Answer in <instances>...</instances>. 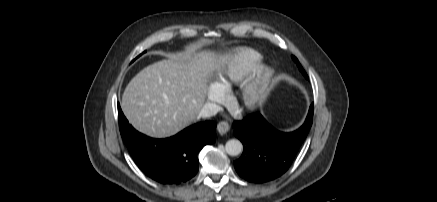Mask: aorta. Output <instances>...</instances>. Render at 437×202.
I'll use <instances>...</instances> for the list:
<instances>
[{
	"label": "aorta",
	"mask_w": 437,
	"mask_h": 202,
	"mask_svg": "<svg viewBox=\"0 0 437 202\" xmlns=\"http://www.w3.org/2000/svg\"><path fill=\"white\" fill-rule=\"evenodd\" d=\"M243 150L242 143L237 139H231L226 142L225 151L231 156L239 155Z\"/></svg>",
	"instance_id": "762f6f07"
}]
</instances>
